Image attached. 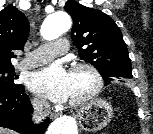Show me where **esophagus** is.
<instances>
[{"mask_svg": "<svg viewBox=\"0 0 153 134\" xmlns=\"http://www.w3.org/2000/svg\"><path fill=\"white\" fill-rule=\"evenodd\" d=\"M52 117H56V114H53Z\"/></svg>", "mask_w": 153, "mask_h": 134, "instance_id": "1", "label": "esophagus"}]
</instances>
